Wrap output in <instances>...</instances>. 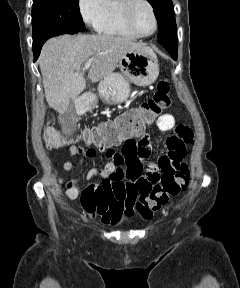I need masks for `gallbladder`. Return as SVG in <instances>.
Here are the masks:
<instances>
[{"mask_svg":"<svg viewBox=\"0 0 240 288\" xmlns=\"http://www.w3.org/2000/svg\"><path fill=\"white\" fill-rule=\"evenodd\" d=\"M74 114H75V111L71 104L69 109L63 114V119L65 123H67L74 116Z\"/></svg>","mask_w":240,"mask_h":288,"instance_id":"1","label":"gallbladder"}]
</instances>
